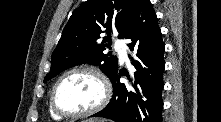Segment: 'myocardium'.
Wrapping results in <instances>:
<instances>
[{
	"label": "myocardium",
	"mask_w": 221,
	"mask_h": 122,
	"mask_svg": "<svg viewBox=\"0 0 221 122\" xmlns=\"http://www.w3.org/2000/svg\"><path fill=\"white\" fill-rule=\"evenodd\" d=\"M78 73H86V74H90V75H93L94 77H96L102 87V96H101V99L99 100V102L90 109H87V110L81 111V112H67V111L62 110L58 106V104L56 102V91H57L60 83L64 79H66L67 77H69L73 74H78ZM110 97H111L110 84H109L107 78L105 77V75L101 71H99L98 69L93 68V67H86V66L85 67H76V68L66 71L56 80V82L54 83V85L52 87L51 94H50V106H51L52 110L60 117L81 118V117L90 116V115L95 114V113L99 112L100 110H102L109 102Z\"/></svg>",
	"instance_id": "f54148a6"
}]
</instances>
